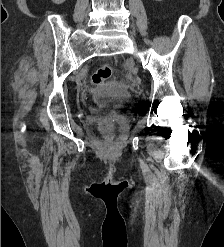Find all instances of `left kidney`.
Masks as SVG:
<instances>
[{
    "label": "left kidney",
    "mask_w": 224,
    "mask_h": 247,
    "mask_svg": "<svg viewBox=\"0 0 224 247\" xmlns=\"http://www.w3.org/2000/svg\"><path fill=\"white\" fill-rule=\"evenodd\" d=\"M156 2H162V0H156Z\"/></svg>",
    "instance_id": "1"
}]
</instances>
